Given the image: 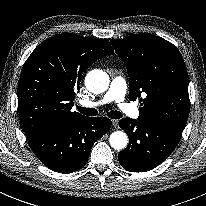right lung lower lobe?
Masks as SVG:
<instances>
[{"label": "right lung lower lobe", "mask_w": 206, "mask_h": 206, "mask_svg": "<svg viewBox=\"0 0 206 206\" xmlns=\"http://www.w3.org/2000/svg\"><path fill=\"white\" fill-rule=\"evenodd\" d=\"M111 127L105 117L83 118L67 127L49 130L28 138L39 160L59 173H72L87 162L93 144Z\"/></svg>", "instance_id": "right-lung-lower-lobe-1"}]
</instances>
